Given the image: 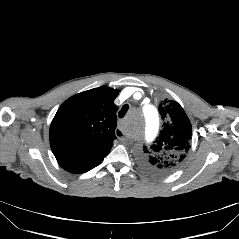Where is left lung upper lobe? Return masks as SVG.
<instances>
[{
	"instance_id": "obj_1",
	"label": "left lung upper lobe",
	"mask_w": 239,
	"mask_h": 239,
	"mask_svg": "<svg viewBox=\"0 0 239 239\" xmlns=\"http://www.w3.org/2000/svg\"><path fill=\"white\" fill-rule=\"evenodd\" d=\"M163 119V129L153 144L144 147L142 165L157 174H168L184 162L191 147V123L176 101L166 100L158 108Z\"/></svg>"
}]
</instances>
